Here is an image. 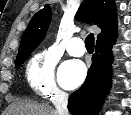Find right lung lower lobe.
<instances>
[{"mask_svg":"<svg viewBox=\"0 0 131 115\" xmlns=\"http://www.w3.org/2000/svg\"><path fill=\"white\" fill-rule=\"evenodd\" d=\"M115 38L96 44L86 80L69 98L68 109L72 115H97L102 107L111 84V48Z\"/></svg>","mask_w":131,"mask_h":115,"instance_id":"obj_1","label":"right lung lower lobe"}]
</instances>
